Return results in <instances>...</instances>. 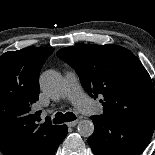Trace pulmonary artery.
<instances>
[{"instance_id": "obj_1", "label": "pulmonary artery", "mask_w": 155, "mask_h": 155, "mask_svg": "<svg viewBox=\"0 0 155 155\" xmlns=\"http://www.w3.org/2000/svg\"><path fill=\"white\" fill-rule=\"evenodd\" d=\"M66 95L71 100L73 105L82 114L92 116L96 114L97 108L95 103L90 100L81 88L76 74L69 71L65 77Z\"/></svg>"}]
</instances>
